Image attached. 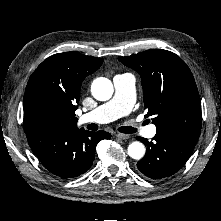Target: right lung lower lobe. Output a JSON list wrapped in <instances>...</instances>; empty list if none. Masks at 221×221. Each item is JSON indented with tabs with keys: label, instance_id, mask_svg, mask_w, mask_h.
<instances>
[{
	"label": "right lung lower lobe",
	"instance_id": "98d812e1",
	"mask_svg": "<svg viewBox=\"0 0 221 221\" xmlns=\"http://www.w3.org/2000/svg\"><path fill=\"white\" fill-rule=\"evenodd\" d=\"M25 133L32 151L43 166L64 179L85 173L92 166L98 142L111 137L105 131L50 126L36 127Z\"/></svg>",
	"mask_w": 221,
	"mask_h": 221
}]
</instances>
